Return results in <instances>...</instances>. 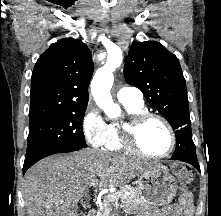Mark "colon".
Here are the masks:
<instances>
[{"instance_id": "obj_1", "label": "colon", "mask_w": 221, "mask_h": 216, "mask_svg": "<svg viewBox=\"0 0 221 216\" xmlns=\"http://www.w3.org/2000/svg\"><path fill=\"white\" fill-rule=\"evenodd\" d=\"M175 175L180 179L183 184H188L190 182V173L186 166L184 165H174L172 167ZM188 192V191H185Z\"/></svg>"}]
</instances>
